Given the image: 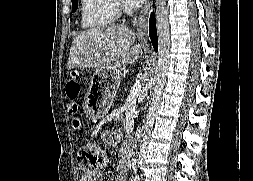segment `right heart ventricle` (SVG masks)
<instances>
[{"instance_id": "e07e8e85", "label": "right heart ventricle", "mask_w": 253, "mask_h": 181, "mask_svg": "<svg viewBox=\"0 0 253 181\" xmlns=\"http://www.w3.org/2000/svg\"><path fill=\"white\" fill-rule=\"evenodd\" d=\"M115 17L112 0H81L80 22L84 29H95L110 25Z\"/></svg>"}]
</instances>
